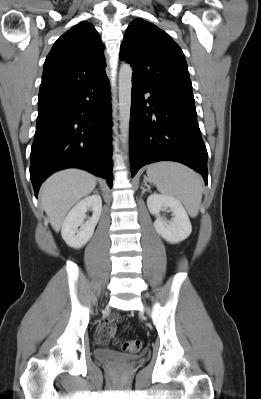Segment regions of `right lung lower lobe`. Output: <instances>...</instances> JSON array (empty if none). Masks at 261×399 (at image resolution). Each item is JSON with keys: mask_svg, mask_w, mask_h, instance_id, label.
I'll return each instance as SVG.
<instances>
[{"mask_svg": "<svg viewBox=\"0 0 261 399\" xmlns=\"http://www.w3.org/2000/svg\"><path fill=\"white\" fill-rule=\"evenodd\" d=\"M111 107L107 76L38 101L30 177L37 197L55 171L78 167L112 186Z\"/></svg>", "mask_w": 261, "mask_h": 399, "instance_id": "right-lung-lower-lobe-1", "label": "right lung lower lobe"}]
</instances>
